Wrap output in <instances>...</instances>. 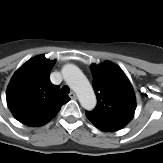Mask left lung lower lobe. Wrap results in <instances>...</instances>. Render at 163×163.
I'll use <instances>...</instances> for the list:
<instances>
[{"label": "left lung lower lobe", "instance_id": "obj_1", "mask_svg": "<svg viewBox=\"0 0 163 163\" xmlns=\"http://www.w3.org/2000/svg\"><path fill=\"white\" fill-rule=\"evenodd\" d=\"M90 120V119H89ZM98 129L104 132L118 131L126 126L124 123H109L90 120Z\"/></svg>", "mask_w": 163, "mask_h": 163}]
</instances>
